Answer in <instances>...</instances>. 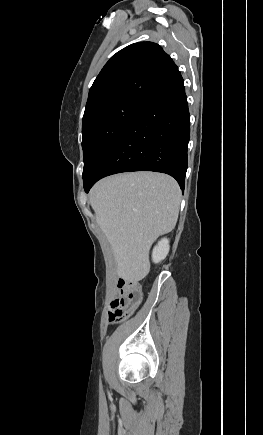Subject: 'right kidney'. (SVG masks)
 Masks as SVG:
<instances>
[{"instance_id": "1", "label": "right kidney", "mask_w": 263, "mask_h": 435, "mask_svg": "<svg viewBox=\"0 0 263 435\" xmlns=\"http://www.w3.org/2000/svg\"><path fill=\"white\" fill-rule=\"evenodd\" d=\"M169 240L167 238L161 239L154 247L152 253V259L155 263H159L164 260L169 252Z\"/></svg>"}]
</instances>
